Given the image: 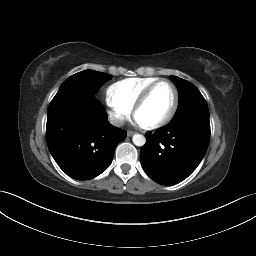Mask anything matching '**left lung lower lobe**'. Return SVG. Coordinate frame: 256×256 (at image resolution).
Masks as SVG:
<instances>
[{"instance_id":"obj_1","label":"left lung lower lobe","mask_w":256,"mask_h":256,"mask_svg":"<svg viewBox=\"0 0 256 256\" xmlns=\"http://www.w3.org/2000/svg\"><path fill=\"white\" fill-rule=\"evenodd\" d=\"M140 159L146 174L163 185L187 178L203 159L210 140L209 118L187 115L146 135Z\"/></svg>"}]
</instances>
